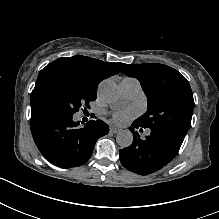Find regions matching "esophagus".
I'll return each instance as SVG.
<instances>
[{
  "mask_svg": "<svg viewBox=\"0 0 219 219\" xmlns=\"http://www.w3.org/2000/svg\"><path fill=\"white\" fill-rule=\"evenodd\" d=\"M110 132H111L112 134H117V133L120 132V129L117 128V127L112 126V127H110Z\"/></svg>",
  "mask_w": 219,
  "mask_h": 219,
  "instance_id": "obj_1",
  "label": "esophagus"
}]
</instances>
